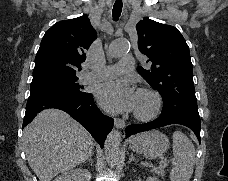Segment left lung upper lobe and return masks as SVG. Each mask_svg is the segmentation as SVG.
<instances>
[{
  "mask_svg": "<svg viewBox=\"0 0 228 181\" xmlns=\"http://www.w3.org/2000/svg\"><path fill=\"white\" fill-rule=\"evenodd\" d=\"M138 47L149 59L138 73L158 90L163 99V120L200 123L193 83L189 47L182 34L171 25L145 18L136 25Z\"/></svg>",
  "mask_w": 228,
  "mask_h": 181,
  "instance_id": "obj_1",
  "label": "left lung upper lobe"
}]
</instances>
